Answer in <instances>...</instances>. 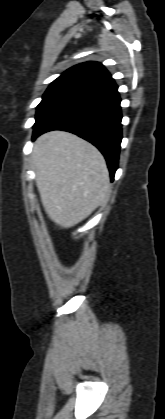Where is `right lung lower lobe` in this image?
I'll list each match as a JSON object with an SVG mask.
<instances>
[{"label":"right lung lower lobe","instance_id":"obj_1","mask_svg":"<svg viewBox=\"0 0 165 419\" xmlns=\"http://www.w3.org/2000/svg\"><path fill=\"white\" fill-rule=\"evenodd\" d=\"M120 102L116 84L81 96L46 117L34 129L33 140L51 130L74 133L101 151L113 180L122 139Z\"/></svg>","mask_w":165,"mask_h":419}]
</instances>
